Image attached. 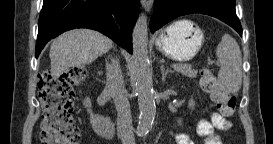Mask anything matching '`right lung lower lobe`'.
<instances>
[{"mask_svg": "<svg viewBox=\"0 0 273 144\" xmlns=\"http://www.w3.org/2000/svg\"><path fill=\"white\" fill-rule=\"evenodd\" d=\"M140 0H44L38 21L35 55L46 43L74 28L97 30L132 53L131 33Z\"/></svg>", "mask_w": 273, "mask_h": 144, "instance_id": "obj_1", "label": "right lung lower lobe"}]
</instances>
